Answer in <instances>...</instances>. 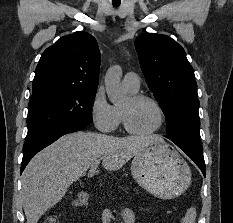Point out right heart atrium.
Segmentation results:
<instances>
[{"instance_id":"obj_1","label":"right heart atrium","mask_w":233,"mask_h":223,"mask_svg":"<svg viewBox=\"0 0 233 223\" xmlns=\"http://www.w3.org/2000/svg\"><path fill=\"white\" fill-rule=\"evenodd\" d=\"M90 114L95 127L101 132H114L120 124L115 107L107 101L102 90L94 95Z\"/></svg>"}]
</instances>
